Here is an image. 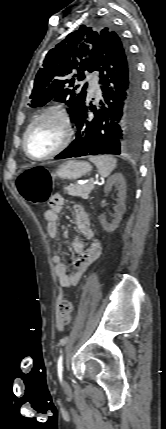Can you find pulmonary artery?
<instances>
[{"label":"pulmonary artery","instance_id":"1","mask_svg":"<svg viewBox=\"0 0 166 429\" xmlns=\"http://www.w3.org/2000/svg\"><path fill=\"white\" fill-rule=\"evenodd\" d=\"M89 82V90L91 92H97L98 91V79L96 77H88Z\"/></svg>","mask_w":166,"mask_h":429}]
</instances>
